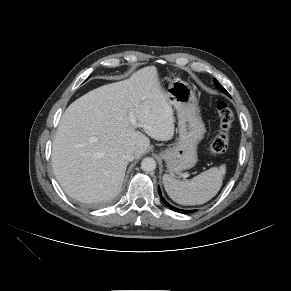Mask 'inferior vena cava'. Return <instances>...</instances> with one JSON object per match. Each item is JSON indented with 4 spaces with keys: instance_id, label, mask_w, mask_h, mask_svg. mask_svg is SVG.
<instances>
[{
    "instance_id": "obj_1",
    "label": "inferior vena cava",
    "mask_w": 291,
    "mask_h": 291,
    "mask_svg": "<svg viewBox=\"0 0 291 291\" xmlns=\"http://www.w3.org/2000/svg\"><path fill=\"white\" fill-rule=\"evenodd\" d=\"M135 148H129L128 150H126L123 154V158L126 161H132L135 158Z\"/></svg>"
}]
</instances>
